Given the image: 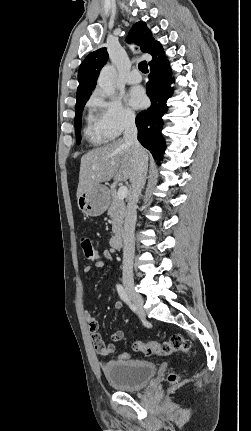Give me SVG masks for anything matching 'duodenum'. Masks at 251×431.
I'll list each match as a JSON object with an SVG mask.
<instances>
[{"instance_id": "410a0bca", "label": "duodenum", "mask_w": 251, "mask_h": 431, "mask_svg": "<svg viewBox=\"0 0 251 431\" xmlns=\"http://www.w3.org/2000/svg\"><path fill=\"white\" fill-rule=\"evenodd\" d=\"M123 245H124V233L123 231H118L111 238V246L115 249H121Z\"/></svg>"}]
</instances>
